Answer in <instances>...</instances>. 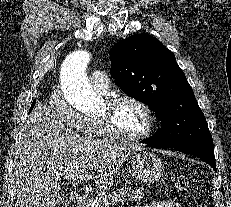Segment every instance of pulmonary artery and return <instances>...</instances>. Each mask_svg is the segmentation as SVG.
<instances>
[{
	"label": "pulmonary artery",
	"instance_id": "e3ab8cb5",
	"mask_svg": "<svg viewBox=\"0 0 231 207\" xmlns=\"http://www.w3.org/2000/svg\"><path fill=\"white\" fill-rule=\"evenodd\" d=\"M90 80L93 85V87L101 92V93H107L110 88V78L108 74L103 70H95L90 75Z\"/></svg>",
	"mask_w": 231,
	"mask_h": 207
}]
</instances>
